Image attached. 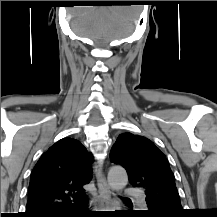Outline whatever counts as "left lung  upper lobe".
I'll use <instances>...</instances> for the list:
<instances>
[{
  "label": "left lung upper lobe",
  "mask_w": 217,
  "mask_h": 217,
  "mask_svg": "<svg viewBox=\"0 0 217 217\" xmlns=\"http://www.w3.org/2000/svg\"><path fill=\"white\" fill-rule=\"evenodd\" d=\"M110 160L122 165L134 187L145 190L146 213L177 217L182 213L175 178L165 155L149 139L131 133L120 134Z\"/></svg>",
  "instance_id": "left-lung-upper-lobe-1"
}]
</instances>
